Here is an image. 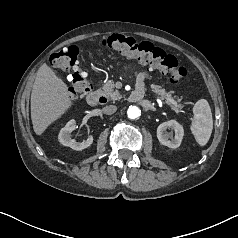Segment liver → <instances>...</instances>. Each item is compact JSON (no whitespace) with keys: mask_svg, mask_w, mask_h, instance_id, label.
Returning <instances> with one entry per match:
<instances>
[{"mask_svg":"<svg viewBox=\"0 0 238 238\" xmlns=\"http://www.w3.org/2000/svg\"><path fill=\"white\" fill-rule=\"evenodd\" d=\"M71 105L67 85L44 63L37 71L31 93V120L34 132L41 135Z\"/></svg>","mask_w":238,"mask_h":238,"instance_id":"obj_1","label":"liver"}]
</instances>
